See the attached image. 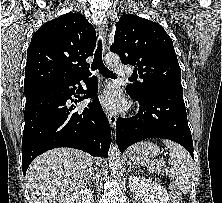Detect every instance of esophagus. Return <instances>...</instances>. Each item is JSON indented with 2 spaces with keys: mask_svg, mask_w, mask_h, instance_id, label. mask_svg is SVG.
I'll return each instance as SVG.
<instances>
[{
  "mask_svg": "<svg viewBox=\"0 0 222 203\" xmlns=\"http://www.w3.org/2000/svg\"><path fill=\"white\" fill-rule=\"evenodd\" d=\"M107 30H108V23H107V20L104 19L99 24V27H98V36L103 43V47L105 46V39H106ZM105 113H106V116L109 120L110 125L114 128L116 126V121H117L116 116L113 115L108 110H106Z\"/></svg>",
  "mask_w": 222,
  "mask_h": 203,
  "instance_id": "1",
  "label": "esophagus"
}]
</instances>
